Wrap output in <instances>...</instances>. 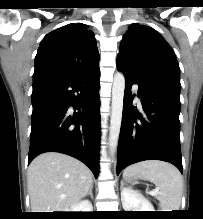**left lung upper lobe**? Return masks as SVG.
<instances>
[{
    "label": "left lung upper lobe",
    "mask_w": 203,
    "mask_h": 219,
    "mask_svg": "<svg viewBox=\"0 0 203 219\" xmlns=\"http://www.w3.org/2000/svg\"><path fill=\"white\" fill-rule=\"evenodd\" d=\"M117 67L147 82L181 88L174 50L156 30L146 25L129 26L121 42Z\"/></svg>",
    "instance_id": "5c2ea615"
}]
</instances>
